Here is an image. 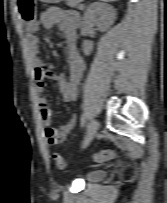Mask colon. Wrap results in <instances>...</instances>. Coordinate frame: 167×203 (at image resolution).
Instances as JSON below:
<instances>
[{"label":"colon","instance_id":"5ec220e1","mask_svg":"<svg viewBox=\"0 0 167 203\" xmlns=\"http://www.w3.org/2000/svg\"><path fill=\"white\" fill-rule=\"evenodd\" d=\"M18 12L21 19L25 22L27 30L31 34L39 32V26L35 20V3L34 0H17ZM116 152L113 150H103L92 155L91 160L96 163L115 159ZM55 165L59 169L66 167L65 159L58 153L53 154Z\"/></svg>","mask_w":167,"mask_h":203}]
</instances>
